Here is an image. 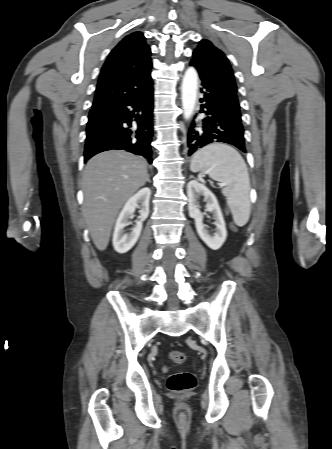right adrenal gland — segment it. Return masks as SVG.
Wrapping results in <instances>:
<instances>
[{
  "mask_svg": "<svg viewBox=\"0 0 332 449\" xmlns=\"http://www.w3.org/2000/svg\"><path fill=\"white\" fill-rule=\"evenodd\" d=\"M147 182H150L149 175H148V177H147Z\"/></svg>",
  "mask_w": 332,
  "mask_h": 449,
  "instance_id": "right-adrenal-gland-1",
  "label": "right adrenal gland"
}]
</instances>
